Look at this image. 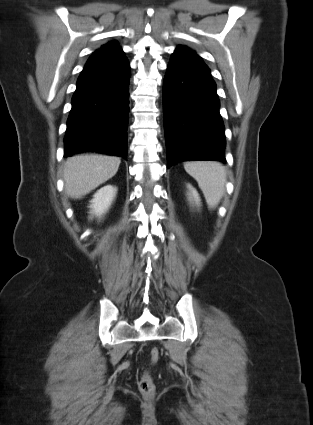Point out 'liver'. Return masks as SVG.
I'll return each instance as SVG.
<instances>
[{
  "label": "liver",
  "mask_w": 313,
  "mask_h": 425,
  "mask_svg": "<svg viewBox=\"0 0 313 425\" xmlns=\"http://www.w3.org/2000/svg\"><path fill=\"white\" fill-rule=\"evenodd\" d=\"M120 158L106 155H78L67 159L63 179L68 196L81 199L112 178L118 171Z\"/></svg>",
  "instance_id": "6515ba94"
}]
</instances>
